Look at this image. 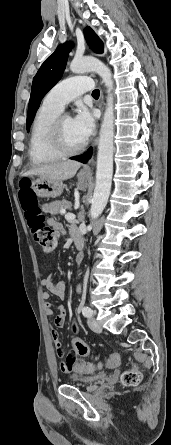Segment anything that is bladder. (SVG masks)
<instances>
[{
  "mask_svg": "<svg viewBox=\"0 0 171 445\" xmlns=\"http://www.w3.org/2000/svg\"><path fill=\"white\" fill-rule=\"evenodd\" d=\"M104 378H105L104 373L95 374V375H71L69 377V381L71 383H74L77 385L85 386V385H89V384H93L98 381H101Z\"/></svg>",
  "mask_w": 171,
  "mask_h": 445,
  "instance_id": "1",
  "label": "bladder"
}]
</instances>
